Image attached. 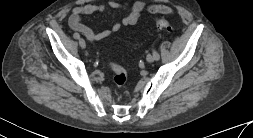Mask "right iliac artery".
<instances>
[{
	"mask_svg": "<svg viewBox=\"0 0 253 138\" xmlns=\"http://www.w3.org/2000/svg\"><path fill=\"white\" fill-rule=\"evenodd\" d=\"M73 36H74V38H75V39H79V38H80L79 33H74V35H73Z\"/></svg>",
	"mask_w": 253,
	"mask_h": 138,
	"instance_id": "82829eb1",
	"label": "right iliac artery"
}]
</instances>
